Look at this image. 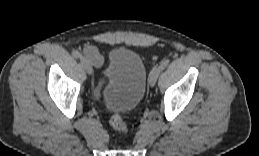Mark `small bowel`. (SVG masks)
Returning a JSON list of instances; mask_svg holds the SVG:
<instances>
[{"label":"small bowel","mask_w":259,"mask_h":156,"mask_svg":"<svg viewBox=\"0 0 259 156\" xmlns=\"http://www.w3.org/2000/svg\"><path fill=\"white\" fill-rule=\"evenodd\" d=\"M85 56L87 57V60L90 64H92L95 67H101L105 64V58L99 53L98 49L93 45H87L83 50ZM100 88L96 90L97 96L100 94Z\"/></svg>","instance_id":"obj_1"}]
</instances>
